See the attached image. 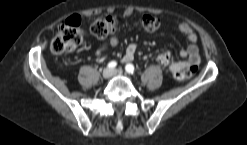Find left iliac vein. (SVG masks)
<instances>
[{"label":"left iliac vein","instance_id":"1","mask_svg":"<svg viewBox=\"0 0 247 145\" xmlns=\"http://www.w3.org/2000/svg\"><path fill=\"white\" fill-rule=\"evenodd\" d=\"M113 74H114V75H122V74H123V71H122L121 69L114 70V71H113Z\"/></svg>","mask_w":247,"mask_h":145}]
</instances>
